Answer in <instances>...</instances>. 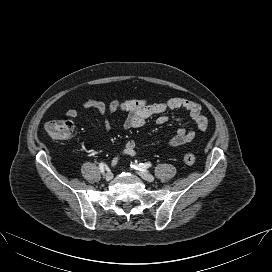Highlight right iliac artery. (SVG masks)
<instances>
[{"instance_id":"obj_1","label":"right iliac artery","mask_w":272,"mask_h":272,"mask_svg":"<svg viewBox=\"0 0 272 272\" xmlns=\"http://www.w3.org/2000/svg\"><path fill=\"white\" fill-rule=\"evenodd\" d=\"M99 168H100V171L103 173L104 170H105V168H106V164L103 163V162H101V163L99 164Z\"/></svg>"}]
</instances>
